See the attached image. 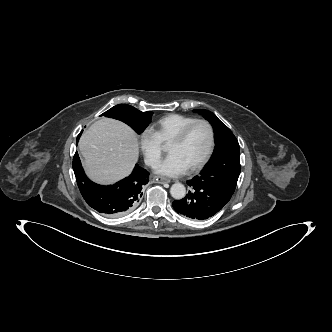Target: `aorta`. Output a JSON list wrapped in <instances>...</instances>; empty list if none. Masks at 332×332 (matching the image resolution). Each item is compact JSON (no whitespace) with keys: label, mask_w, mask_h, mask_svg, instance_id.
<instances>
[{"label":"aorta","mask_w":332,"mask_h":332,"mask_svg":"<svg viewBox=\"0 0 332 332\" xmlns=\"http://www.w3.org/2000/svg\"><path fill=\"white\" fill-rule=\"evenodd\" d=\"M171 196L176 200H181L186 195V188L181 183H175L170 188Z\"/></svg>","instance_id":"1"}]
</instances>
